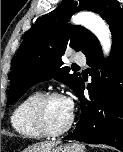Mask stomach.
I'll return each mask as SVG.
<instances>
[{
    "label": "stomach",
    "instance_id": "obj_1",
    "mask_svg": "<svg viewBox=\"0 0 123 152\" xmlns=\"http://www.w3.org/2000/svg\"><path fill=\"white\" fill-rule=\"evenodd\" d=\"M50 152H85V147L82 144L72 143L55 147Z\"/></svg>",
    "mask_w": 123,
    "mask_h": 152
}]
</instances>
